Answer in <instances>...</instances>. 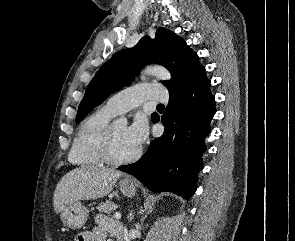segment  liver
Here are the masks:
<instances>
[{
  "label": "liver",
  "mask_w": 295,
  "mask_h": 241,
  "mask_svg": "<svg viewBox=\"0 0 295 241\" xmlns=\"http://www.w3.org/2000/svg\"><path fill=\"white\" fill-rule=\"evenodd\" d=\"M122 173L97 166H81L65 174L54 191L53 206L59 213L79 200L102 198L109 194Z\"/></svg>",
  "instance_id": "liver-1"
}]
</instances>
